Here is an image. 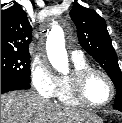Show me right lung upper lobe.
Instances as JSON below:
<instances>
[{
  "instance_id": "1",
  "label": "right lung upper lobe",
  "mask_w": 122,
  "mask_h": 123,
  "mask_svg": "<svg viewBox=\"0 0 122 123\" xmlns=\"http://www.w3.org/2000/svg\"><path fill=\"white\" fill-rule=\"evenodd\" d=\"M14 4L1 11V52L29 53L32 27L26 12Z\"/></svg>"
}]
</instances>
